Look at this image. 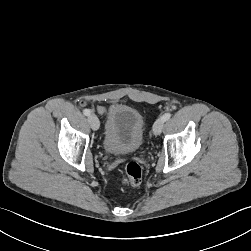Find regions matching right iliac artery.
Returning a JSON list of instances; mask_svg holds the SVG:
<instances>
[{"instance_id":"82829eb1","label":"right iliac artery","mask_w":251,"mask_h":251,"mask_svg":"<svg viewBox=\"0 0 251 251\" xmlns=\"http://www.w3.org/2000/svg\"><path fill=\"white\" fill-rule=\"evenodd\" d=\"M83 114L89 116L91 114V111L89 109H84Z\"/></svg>"}]
</instances>
